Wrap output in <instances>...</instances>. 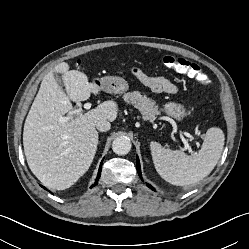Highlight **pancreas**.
I'll use <instances>...</instances> for the list:
<instances>
[{"instance_id": "obj_1", "label": "pancreas", "mask_w": 249, "mask_h": 249, "mask_svg": "<svg viewBox=\"0 0 249 249\" xmlns=\"http://www.w3.org/2000/svg\"><path fill=\"white\" fill-rule=\"evenodd\" d=\"M123 99L126 103L133 104L141 112L144 119L154 118L161 113L156 102L141 95L139 91L128 92L123 96Z\"/></svg>"}]
</instances>
